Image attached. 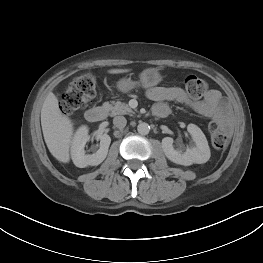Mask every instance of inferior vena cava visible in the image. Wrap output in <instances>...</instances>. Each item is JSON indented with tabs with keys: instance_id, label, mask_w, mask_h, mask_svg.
<instances>
[{
	"instance_id": "1",
	"label": "inferior vena cava",
	"mask_w": 263,
	"mask_h": 263,
	"mask_svg": "<svg viewBox=\"0 0 263 263\" xmlns=\"http://www.w3.org/2000/svg\"><path fill=\"white\" fill-rule=\"evenodd\" d=\"M113 124L118 128H124L127 124V120L124 116H115L113 118Z\"/></svg>"
}]
</instances>
